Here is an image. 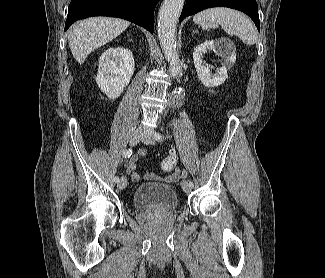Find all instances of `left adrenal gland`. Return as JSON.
<instances>
[{"label":"left adrenal gland","mask_w":325,"mask_h":278,"mask_svg":"<svg viewBox=\"0 0 325 278\" xmlns=\"http://www.w3.org/2000/svg\"><path fill=\"white\" fill-rule=\"evenodd\" d=\"M193 33H198V30H194Z\"/></svg>","instance_id":"left-adrenal-gland-1"}]
</instances>
